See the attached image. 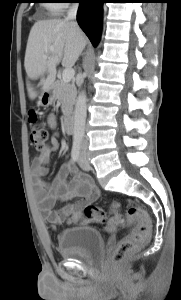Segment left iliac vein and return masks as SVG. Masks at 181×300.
<instances>
[{
  "instance_id": "left-iliac-vein-1",
  "label": "left iliac vein",
  "mask_w": 181,
  "mask_h": 300,
  "mask_svg": "<svg viewBox=\"0 0 181 300\" xmlns=\"http://www.w3.org/2000/svg\"><path fill=\"white\" fill-rule=\"evenodd\" d=\"M79 166L83 170H89L90 169V163L87 159V155H86L85 151H81L80 158H79Z\"/></svg>"
}]
</instances>
